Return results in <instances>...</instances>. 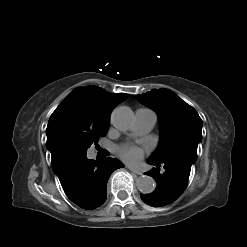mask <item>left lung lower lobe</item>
<instances>
[{"label":"left lung lower lobe","instance_id":"0a47b994","mask_svg":"<svg viewBox=\"0 0 247 247\" xmlns=\"http://www.w3.org/2000/svg\"><path fill=\"white\" fill-rule=\"evenodd\" d=\"M148 163L156 167L145 174L153 177L158 184L152 193L140 195L141 199L153 207L174 202L187 186L191 165L177 159L164 162L149 159ZM161 166L165 169L163 172L159 171Z\"/></svg>","mask_w":247,"mask_h":247}]
</instances>
